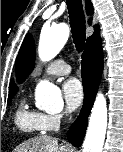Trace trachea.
Returning a JSON list of instances; mask_svg holds the SVG:
<instances>
[{
  "mask_svg": "<svg viewBox=\"0 0 123 152\" xmlns=\"http://www.w3.org/2000/svg\"><path fill=\"white\" fill-rule=\"evenodd\" d=\"M73 42L78 52H82L85 45V15L81 0H66Z\"/></svg>",
  "mask_w": 123,
  "mask_h": 152,
  "instance_id": "obj_1",
  "label": "trachea"
}]
</instances>
